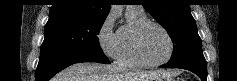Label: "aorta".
<instances>
[{"mask_svg":"<svg viewBox=\"0 0 237 81\" xmlns=\"http://www.w3.org/2000/svg\"><path fill=\"white\" fill-rule=\"evenodd\" d=\"M111 12L117 13L118 16H120L123 12V8L121 7V5H112Z\"/></svg>","mask_w":237,"mask_h":81,"instance_id":"1","label":"aorta"}]
</instances>
